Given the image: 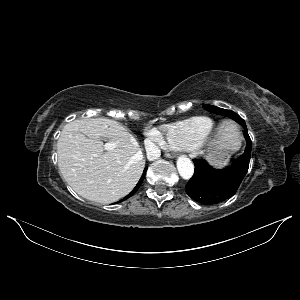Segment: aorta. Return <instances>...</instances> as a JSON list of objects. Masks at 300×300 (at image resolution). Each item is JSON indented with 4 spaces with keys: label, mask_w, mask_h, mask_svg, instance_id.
<instances>
[{
    "label": "aorta",
    "mask_w": 300,
    "mask_h": 300,
    "mask_svg": "<svg viewBox=\"0 0 300 300\" xmlns=\"http://www.w3.org/2000/svg\"><path fill=\"white\" fill-rule=\"evenodd\" d=\"M176 166H177L180 176L183 179L188 180L193 176L194 165L188 157H186V156L178 157Z\"/></svg>",
    "instance_id": "obj_1"
}]
</instances>
